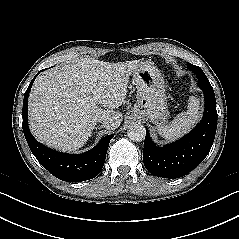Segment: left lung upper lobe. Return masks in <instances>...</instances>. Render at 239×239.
Wrapping results in <instances>:
<instances>
[{
    "label": "left lung upper lobe",
    "instance_id": "1",
    "mask_svg": "<svg viewBox=\"0 0 239 239\" xmlns=\"http://www.w3.org/2000/svg\"><path fill=\"white\" fill-rule=\"evenodd\" d=\"M188 67L191 71L196 73L198 75V80L202 81H208L206 75L202 71V69L198 66L192 65L191 63H188Z\"/></svg>",
    "mask_w": 239,
    "mask_h": 239
}]
</instances>
